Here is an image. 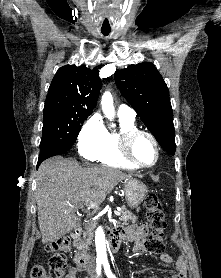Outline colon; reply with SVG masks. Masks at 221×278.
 Here are the masks:
<instances>
[{
    "instance_id": "1",
    "label": "colon",
    "mask_w": 221,
    "mask_h": 278,
    "mask_svg": "<svg viewBox=\"0 0 221 278\" xmlns=\"http://www.w3.org/2000/svg\"><path fill=\"white\" fill-rule=\"evenodd\" d=\"M147 225L151 232L146 242L147 250L152 254H162L165 250L164 231L167 227L160 201L154 195H149L144 201ZM71 248V239L60 238L49 243L46 250L51 252L49 271L41 266H35L31 278H62L66 269V256Z\"/></svg>"
}]
</instances>
